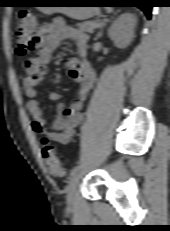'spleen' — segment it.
I'll use <instances>...</instances> for the list:
<instances>
[{
	"label": "spleen",
	"mask_w": 170,
	"mask_h": 231,
	"mask_svg": "<svg viewBox=\"0 0 170 231\" xmlns=\"http://www.w3.org/2000/svg\"><path fill=\"white\" fill-rule=\"evenodd\" d=\"M108 12H112V8H106Z\"/></svg>",
	"instance_id": "obj_1"
}]
</instances>
